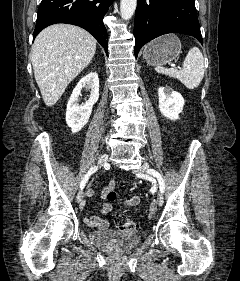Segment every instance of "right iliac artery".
Instances as JSON below:
<instances>
[{"label":"right iliac artery","instance_id":"1","mask_svg":"<svg viewBox=\"0 0 240 281\" xmlns=\"http://www.w3.org/2000/svg\"><path fill=\"white\" fill-rule=\"evenodd\" d=\"M97 170H98V167H97V166H93V167L90 168V170L88 171V173L86 174V176H85V177L83 178V180L81 181V184H80V189H81V190L85 187V185H86V183H87L89 177H90L93 173H95Z\"/></svg>","mask_w":240,"mask_h":281}]
</instances>
